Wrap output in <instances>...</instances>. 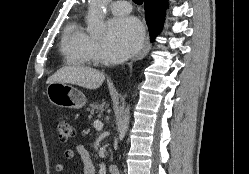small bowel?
<instances>
[{
	"instance_id": "small-bowel-1",
	"label": "small bowel",
	"mask_w": 249,
	"mask_h": 174,
	"mask_svg": "<svg viewBox=\"0 0 249 174\" xmlns=\"http://www.w3.org/2000/svg\"><path fill=\"white\" fill-rule=\"evenodd\" d=\"M76 154H78L81 159L83 165V174H95V167L91 160L90 154L82 144L76 145L75 149H68L65 151V157L68 160L74 159ZM56 171L59 173L64 172L65 165L57 164Z\"/></svg>"
}]
</instances>
